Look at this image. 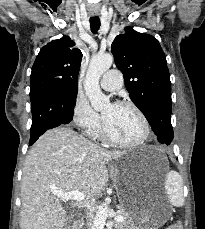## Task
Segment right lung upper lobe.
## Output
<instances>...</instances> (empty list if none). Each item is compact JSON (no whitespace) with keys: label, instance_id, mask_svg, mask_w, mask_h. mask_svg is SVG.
Listing matches in <instances>:
<instances>
[{"label":"right lung upper lobe","instance_id":"obj_1","mask_svg":"<svg viewBox=\"0 0 205 229\" xmlns=\"http://www.w3.org/2000/svg\"><path fill=\"white\" fill-rule=\"evenodd\" d=\"M74 46V41L63 36L41 48L31 72V101L47 93L77 87L82 53Z\"/></svg>","mask_w":205,"mask_h":229}]
</instances>
